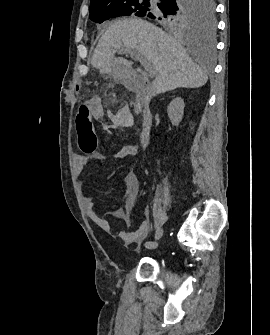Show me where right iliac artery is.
Wrapping results in <instances>:
<instances>
[{"label":"right iliac artery","instance_id":"1","mask_svg":"<svg viewBox=\"0 0 270 335\" xmlns=\"http://www.w3.org/2000/svg\"><path fill=\"white\" fill-rule=\"evenodd\" d=\"M158 246L156 242L148 241L145 243V247L148 249H155Z\"/></svg>","mask_w":270,"mask_h":335}]
</instances>
